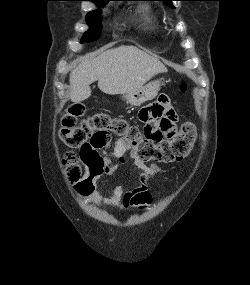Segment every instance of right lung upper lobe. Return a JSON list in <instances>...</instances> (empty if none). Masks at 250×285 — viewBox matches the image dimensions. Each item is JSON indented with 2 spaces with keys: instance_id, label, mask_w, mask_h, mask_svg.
Here are the masks:
<instances>
[{
  "instance_id": "right-lung-upper-lobe-1",
  "label": "right lung upper lobe",
  "mask_w": 250,
  "mask_h": 285,
  "mask_svg": "<svg viewBox=\"0 0 250 285\" xmlns=\"http://www.w3.org/2000/svg\"><path fill=\"white\" fill-rule=\"evenodd\" d=\"M90 1H93V2H96V3H107L110 0H90Z\"/></svg>"
}]
</instances>
